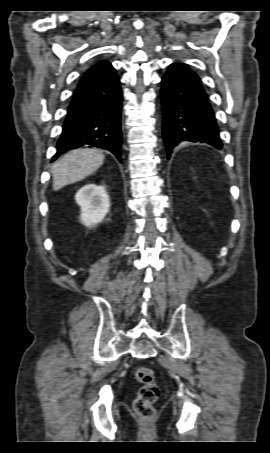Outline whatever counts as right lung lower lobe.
<instances>
[{"label":"right lung lower lobe","mask_w":270,"mask_h":453,"mask_svg":"<svg viewBox=\"0 0 270 453\" xmlns=\"http://www.w3.org/2000/svg\"><path fill=\"white\" fill-rule=\"evenodd\" d=\"M121 104L120 82L113 67L97 78L78 84L52 162L61 154L83 146L108 150L121 161Z\"/></svg>","instance_id":"right-lung-lower-lobe-1"}]
</instances>
